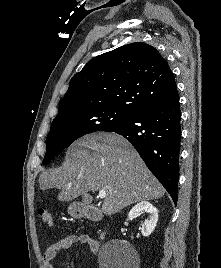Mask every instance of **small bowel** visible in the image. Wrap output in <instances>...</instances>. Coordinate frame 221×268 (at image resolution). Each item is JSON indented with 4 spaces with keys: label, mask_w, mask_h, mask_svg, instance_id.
Returning a JSON list of instances; mask_svg holds the SVG:
<instances>
[{
    "label": "small bowel",
    "mask_w": 221,
    "mask_h": 268,
    "mask_svg": "<svg viewBox=\"0 0 221 268\" xmlns=\"http://www.w3.org/2000/svg\"><path fill=\"white\" fill-rule=\"evenodd\" d=\"M75 244L86 245L88 249L94 254L97 253L99 249L98 242L89 235H68L62 239L54 241L46 248L43 254L44 268H55L54 260L57 256V253L61 250L69 249Z\"/></svg>",
    "instance_id": "obj_1"
}]
</instances>
